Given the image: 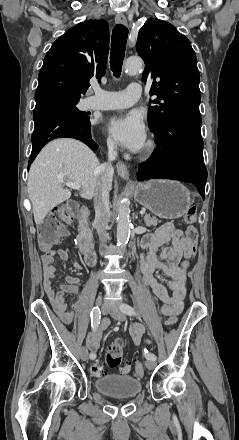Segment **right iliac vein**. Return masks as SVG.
<instances>
[{"mask_svg":"<svg viewBox=\"0 0 239 440\" xmlns=\"http://www.w3.org/2000/svg\"><path fill=\"white\" fill-rule=\"evenodd\" d=\"M100 302H101V300L98 299V303H100ZM109 308H110L109 305H107L105 303L102 304V307H101L102 314L103 315L107 314L109 311ZM80 357L83 361L88 360V350L86 347H82V349L80 351Z\"/></svg>","mask_w":239,"mask_h":440,"instance_id":"right-iliac-vein-1","label":"right iliac vein"}]
</instances>
